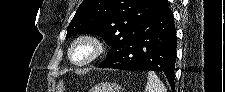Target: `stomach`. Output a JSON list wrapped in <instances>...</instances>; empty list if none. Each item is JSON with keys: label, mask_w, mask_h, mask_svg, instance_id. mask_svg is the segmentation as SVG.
<instances>
[{"label": "stomach", "mask_w": 225, "mask_h": 92, "mask_svg": "<svg viewBox=\"0 0 225 92\" xmlns=\"http://www.w3.org/2000/svg\"><path fill=\"white\" fill-rule=\"evenodd\" d=\"M121 89L117 84L103 83L94 87L90 92H120Z\"/></svg>", "instance_id": "1"}]
</instances>
